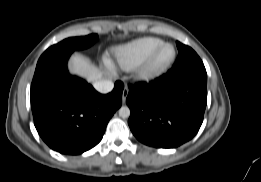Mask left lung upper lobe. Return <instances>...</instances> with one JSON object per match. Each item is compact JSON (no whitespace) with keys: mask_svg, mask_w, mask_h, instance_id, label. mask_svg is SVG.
<instances>
[{"mask_svg":"<svg viewBox=\"0 0 261 182\" xmlns=\"http://www.w3.org/2000/svg\"><path fill=\"white\" fill-rule=\"evenodd\" d=\"M176 44L179 55L172 69H170L168 72L179 73L192 69H205L202 60L192 48L180 42H176Z\"/></svg>","mask_w":261,"mask_h":182,"instance_id":"left-lung-upper-lobe-1","label":"left lung upper lobe"}]
</instances>
